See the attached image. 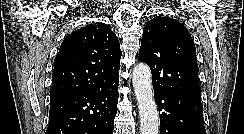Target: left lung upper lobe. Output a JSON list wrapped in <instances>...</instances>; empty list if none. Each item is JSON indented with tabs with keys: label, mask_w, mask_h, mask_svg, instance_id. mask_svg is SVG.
Listing matches in <instances>:
<instances>
[{
	"label": "left lung upper lobe",
	"mask_w": 244,
	"mask_h": 134,
	"mask_svg": "<svg viewBox=\"0 0 244 134\" xmlns=\"http://www.w3.org/2000/svg\"><path fill=\"white\" fill-rule=\"evenodd\" d=\"M139 60L149 65L154 90L201 98L196 48L179 21L150 20L143 29Z\"/></svg>",
	"instance_id": "obj_1"
}]
</instances>
